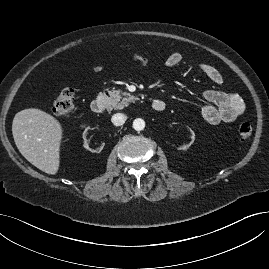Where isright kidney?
I'll list each match as a JSON object with an SVG mask.
<instances>
[{
    "instance_id": "obj_1",
    "label": "right kidney",
    "mask_w": 269,
    "mask_h": 269,
    "mask_svg": "<svg viewBox=\"0 0 269 269\" xmlns=\"http://www.w3.org/2000/svg\"><path fill=\"white\" fill-rule=\"evenodd\" d=\"M89 129H90V127H86L85 128V131L83 133V138H84L85 144H86L85 146H86V149L89 150V151H91L92 153H97V152L101 151L102 148L105 147V144L104 143H100L97 147H93L91 145V143L89 142L91 139L89 137L86 138V133H87V131Z\"/></svg>"
}]
</instances>
